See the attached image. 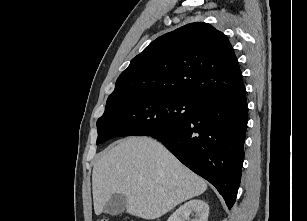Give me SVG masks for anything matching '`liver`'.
Returning <instances> with one entry per match:
<instances>
[{"label":"liver","instance_id":"obj_1","mask_svg":"<svg viewBox=\"0 0 307 221\" xmlns=\"http://www.w3.org/2000/svg\"><path fill=\"white\" fill-rule=\"evenodd\" d=\"M92 190L96 215L102 214L114 194H122L127 198V213L154 220L204 193L207 183L156 140L129 137L100 154L93 168Z\"/></svg>","mask_w":307,"mask_h":221}]
</instances>
